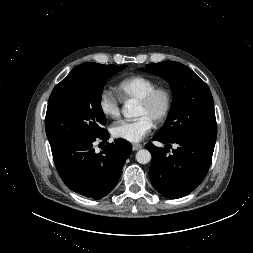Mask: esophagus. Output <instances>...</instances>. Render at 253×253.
<instances>
[{"mask_svg":"<svg viewBox=\"0 0 253 253\" xmlns=\"http://www.w3.org/2000/svg\"><path fill=\"white\" fill-rule=\"evenodd\" d=\"M143 146L141 144H138V143H135V144H132V149L134 151H137L139 149H141Z\"/></svg>","mask_w":253,"mask_h":253,"instance_id":"34e87169","label":"esophagus"}]
</instances>
